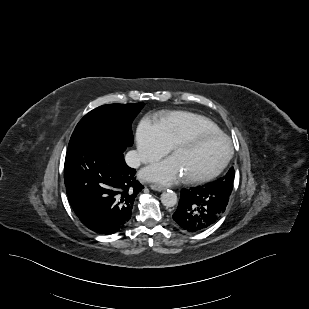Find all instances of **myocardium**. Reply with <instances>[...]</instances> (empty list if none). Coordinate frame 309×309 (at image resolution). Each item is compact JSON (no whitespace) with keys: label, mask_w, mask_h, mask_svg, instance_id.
Segmentation results:
<instances>
[{"label":"myocardium","mask_w":309,"mask_h":309,"mask_svg":"<svg viewBox=\"0 0 309 309\" xmlns=\"http://www.w3.org/2000/svg\"><path fill=\"white\" fill-rule=\"evenodd\" d=\"M205 138H221L226 142L227 151L221 163L211 172L203 175L188 176L187 181L191 183H204L213 180L219 176L230 162L233 155V145L231 139L223 132H213L207 130H199L190 133L189 135L178 140L173 145V152L177 149L194 144Z\"/></svg>","instance_id":"obj_1"}]
</instances>
